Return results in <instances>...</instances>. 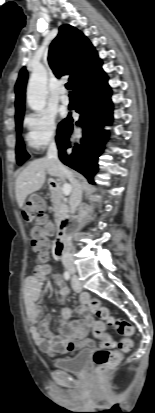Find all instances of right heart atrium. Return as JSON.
Here are the masks:
<instances>
[{"mask_svg": "<svg viewBox=\"0 0 155 413\" xmlns=\"http://www.w3.org/2000/svg\"><path fill=\"white\" fill-rule=\"evenodd\" d=\"M24 125L26 140L35 151H41L53 143L57 135L56 120L53 114L45 111L33 112L26 116Z\"/></svg>", "mask_w": 155, "mask_h": 413, "instance_id": "right-heart-atrium-1", "label": "right heart atrium"}]
</instances>
